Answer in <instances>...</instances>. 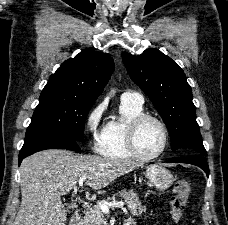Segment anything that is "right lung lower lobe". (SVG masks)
<instances>
[{"instance_id": "obj_1", "label": "right lung lower lobe", "mask_w": 228, "mask_h": 225, "mask_svg": "<svg viewBox=\"0 0 228 225\" xmlns=\"http://www.w3.org/2000/svg\"><path fill=\"white\" fill-rule=\"evenodd\" d=\"M46 149H67L80 152V148L71 137L58 134H40L25 138L19 154V165L22 160L38 151Z\"/></svg>"}]
</instances>
